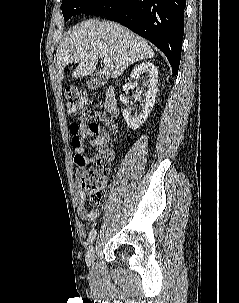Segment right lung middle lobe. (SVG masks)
Returning <instances> with one entry per match:
<instances>
[{"label":"right lung middle lobe","instance_id":"obj_1","mask_svg":"<svg viewBox=\"0 0 239 303\" xmlns=\"http://www.w3.org/2000/svg\"><path fill=\"white\" fill-rule=\"evenodd\" d=\"M106 0H62V13L64 20L81 13L89 14Z\"/></svg>","mask_w":239,"mask_h":303}]
</instances>
